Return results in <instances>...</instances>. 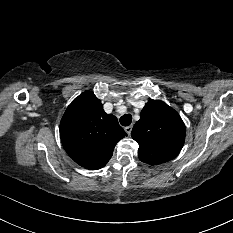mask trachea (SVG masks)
Segmentation results:
<instances>
[{"mask_svg": "<svg viewBox=\"0 0 233 233\" xmlns=\"http://www.w3.org/2000/svg\"><path fill=\"white\" fill-rule=\"evenodd\" d=\"M132 122L131 114H125L120 118V124L122 126H129Z\"/></svg>", "mask_w": 233, "mask_h": 233, "instance_id": "3493384b", "label": "trachea"}]
</instances>
